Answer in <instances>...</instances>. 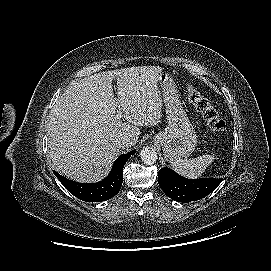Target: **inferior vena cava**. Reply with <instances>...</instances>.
Here are the masks:
<instances>
[{
	"instance_id": "602c4592",
	"label": "inferior vena cava",
	"mask_w": 271,
	"mask_h": 271,
	"mask_svg": "<svg viewBox=\"0 0 271 271\" xmlns=\"http://www.w3.org/2000/svg\"><path fill=\"white\" fill-rule=\"evenodd\" d=\"M117 144L120 148H128L133 145V142L129 136H123L117 140Z\"/></svg>"
}]
</instances>
